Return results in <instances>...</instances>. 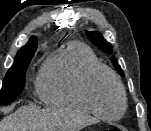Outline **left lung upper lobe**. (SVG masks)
<instances>
[{
  "instance_id": "1",
  "label": "left lung upper lobe",
  "mask_w": 151,
  "mask_h": 131,
  "mask_svg": "<svg viewBox=\"0 0 151 131\" xmlns=\"http://www.w3.org/2000/svg\"><path fill=\"white\" fill-rule=\"evenodd\" d=\"M88 38L91 40V42L96 45L99 49L103 50L106 53H111L113 51V48L110 43H108L103 36L98 32H87L86 33ZM112 62L114 64V67L119 72L120 75L124 76V73L120 66L118 65L116 59L114 56L112 57Z\"/></svg>"
}]
</instances>
